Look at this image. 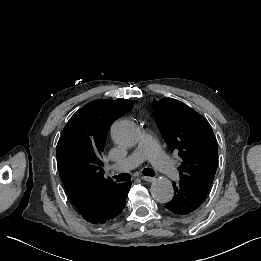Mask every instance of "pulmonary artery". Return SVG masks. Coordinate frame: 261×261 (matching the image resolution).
<instances>
[{"label":"pulmonary artery","mask_w":261,"mask_h":261,"mask_svg":"<svg viewBox=\"0 0 261 261\" xmlns=\"http://www.w3.org/2000/svg\"><path fill=\"white\" fill-rule=\"evenodd\" d=\"M148 160L161 172L168 183H177L181 179V172L175 168L171 159L161 151L156 138L151 131L143 128L140 141L135 150L124 160L111 167L113 173L129 171L143 161Z\"/></svg>","instance_id":"1"}]
</instances>
